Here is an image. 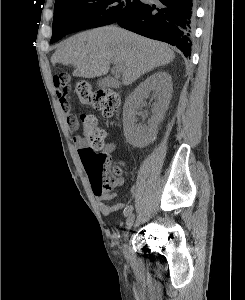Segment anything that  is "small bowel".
Listing matches in <instances>:
<instances>
[{"label": "small bowel", "mask_w": 245, "mask_h": 300, "mask_svg": "<svg viewBox=\"0 0 245 300\" xmlns=\"http://www.w3.org/2000/svg\"><path fill=\"white\" fill-rule=\"evenodd\" d=\"M57 94H58V97L60 98L61 108H62L63 112L66 114V121L68 123L69 130L72 134H74L73 141L76 144V146L78 147V149H81L82 147H85L87 145V143L83 139V137L76 134L79 129V123H78L76 117L69 113V105H68L66 99L64 98L63 93L61 91L57 90ZM115 148H116V145L113 142H107V143L103 144L102 147L100 148L101 149L100 153L109 159L110 154L115 150ZM122 184H123V179H120L118 181L117 185H122ZM130 192H131L132 196L136 195L137 187H135V186L131 187ZM111 197H112V195H105V196L98 197L99 209L104 214H109L114 211H118L124 207V204L121 202L115 203L113 205L107 204L106 200L110 199Z\"/></svg>", "instance_id": "small-bowel-1"}]
</instances>
